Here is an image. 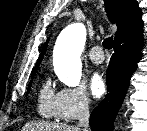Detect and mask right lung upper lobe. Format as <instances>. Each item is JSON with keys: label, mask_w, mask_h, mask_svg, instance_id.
<instances>
[{"label": "right lung upper lobe", "mask_w": 147, "mask_h": 131, "mask_svg": "<svg viewBox=\"0 0 147 131\" xmlns=\"http://www.w3.org/2000/svg\"><path fill=\"white\" fill-rule=\"evenodd\" d=\"M105 9L110 22L117 25L114 42L120 41L140 31L143 27L141 9L136 0H104ZM44 46L35 66L38 69L45 52Z\"/></svg>", "instance_id": "right-lung-upper-lobe-1"}]
</instances>
